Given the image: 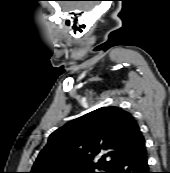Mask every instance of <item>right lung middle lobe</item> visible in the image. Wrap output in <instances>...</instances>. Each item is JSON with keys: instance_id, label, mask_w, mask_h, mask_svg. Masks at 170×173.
<instances>
[{"instance_id": "obj_1", "label": "right lung middle lobe", "mask_w": 170, "mask_h": 173, "mask_svg": "<svg viewBox=\"0 0 170 173\" xmlns=\"http://www.w3.org/2000/svg\"><path fill=\"white\" fill-rule=\"evenodd\" d=\"M95 169H101V168H91V169H85V170H76V171H71V173H105V172H96Z\"/></svg>"}]
</instances>
